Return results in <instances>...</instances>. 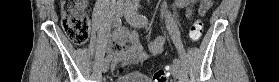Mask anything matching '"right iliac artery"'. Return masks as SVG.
<instances>
[{"label": "right iliac artery", "mask_w": 279, "mask_h": 82, "mask_svg": "<svg viewBox=\"0 0 279 82\" xmlns=\"http://www.w3.org/2000/svg\"><path fill=\"white\" fill-rule=\"evenodd\" d=\"M121 26V19L120 17H115L114 18V27H116L117 29H119ZM105 60L109 61V55H106Z\"/></svg>", "instance_id": "82829eb1"}]
</instances>
